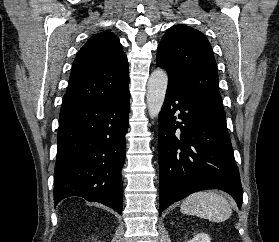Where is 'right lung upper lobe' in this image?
<instances>
[{"instance_id": "1", "label": "right lung upper lobe", "mask_w": 279, "mask_h": 242, "mask_svg": "<svg viewBox=\"0 0 279 242\" xmlns=\"http://www.w3.org/2000/svg\"><path fill=\"white\" fill-rule=\"evenodd\" d=\"M128 84V61L119 39L109 31L98 33L73 62L61 108L117 96L128 89Z\"/></svg>"}]
</instances>
